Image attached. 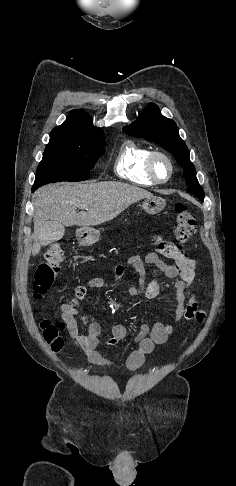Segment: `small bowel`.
<instances>
[{
  "label": "small bowel",
  "instance_id": "1",
  "mask_svg": "<svg viewBox=\"0 0 236 486\" xmlns=\"http://www.w3.org/2000/svg\"><path fill=\"white\" fill-rule=\"evenodd\" d=\"M154 246L156 252L148 253L144 259L138 255L129 258V265L138 275V284L129 287V294L136 298H157L161 292L157 274L161 271L167 277L177 279L174 283L176 300V307L174 309L175 320L201 323L205 318V314L199 309L197 298L191 296L187 301L185 293L187 286L195 278L194 260L180 246L164 240L159 235L154 239ZM159 254L171 259L172 262H163ZM146 264L152 267L149 271L146 270ZM124 274V266L118 265L115 269V279H121ZM104 286L105 280L103 278L92 277L88 280L86 287L89 289H101ZM60 310L61 317L69 335L75 345L83 350L89 361L99 366L112 365L113 362L102 356L97 350L102 325L89 314H81L70 304H61ZM78 320L82 324L81 329L78 326ZM109 329L112 338L109 339L108 344L111 346L125 339L128 335L126 327L121 324H113ZM172 333L173 326L170 322H156L152 326L143 324L134 337L137 348L129 354L126 360V367L132 371L142 367L146 362V357L153 352L155 345L165 343Z\"/></svg>",
  "mask_w": 236,
  "mask_h": 486
}]
</instances>
